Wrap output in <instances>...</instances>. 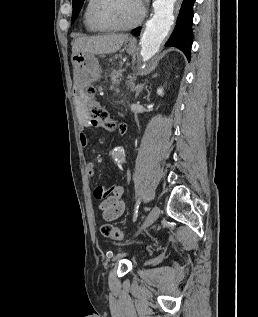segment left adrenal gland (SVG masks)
<instances>
[{
    "mask_svg": "<svg viewBox=\"0 0 258 317\" xmlns=\"http://www.w3.org/2000/svg\"><path fill=\"white\" fill-rule=\"evenodd\" d=\"M144 84H146V82H143V84H137V86H135V88H132V90H136L135 98H137V96H139V92H142V90L144 88Z\"/></svg>",
    "mask_w": 258,
    "mask_h": 317,
    "instance_id": "obj_1",
    "label": "left adrenal gland"
}]
</instances>
